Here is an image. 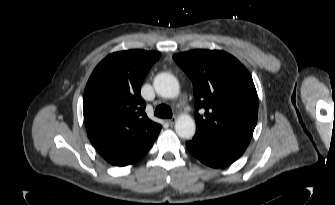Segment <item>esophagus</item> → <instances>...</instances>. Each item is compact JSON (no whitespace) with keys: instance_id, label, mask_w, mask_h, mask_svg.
<instances>
[{"instance_id":"1","label":"esophagus","mask_w":335,"mask_h":205,"mask_svg":"<svg viewBox=\"0 0 335 205\" xmlns=\"http://www.w3.org/2000/svg\"><path fill=\"white\" fill-rule=\"evenodd\" d=\"M168 124L173 125L176 122V117H172L168 120H166Z\"/></svg>"}]
</instances>
